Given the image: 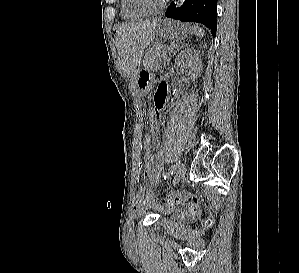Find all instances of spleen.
Listing matches in <instances>:
<instances>
[{"instance_id": "spleen-1", "label": "spleen", "mask_w": 299, "mask_h": 273, "mask_svg": "<svg viewBox=\"0 0 299 273\" xmlns=\"http://www.w3.org/2000/svg\"><path fill=\"white\" fill-rule=\"evenodd\" d=\"M190 33L196 35L199 38H202L205 35L204 29L199 27L198 25L191 26Z\"/></svg>"}]
</instances>
